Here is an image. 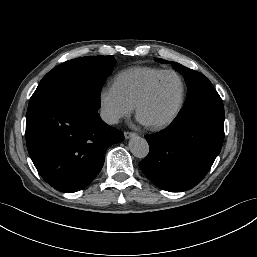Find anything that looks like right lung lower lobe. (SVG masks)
<instances>
[{
    "mask_svg": "<svg viewBox=\"0 0 257 257\" xmlns=\"http://www.w3.org/2000/svg\"><path fill=\"white\" fill-rule=\"evenodd\" d=\"M99 108L74 93L30 100L29 155L41 177L61 192L85 188L102 169L107 148L124 139L101 120Z\"/></svg>",
    "mask_w": 257,
    "mask_h": 257,
    "instance_id": "obj_1",
    "label": "right lung lower lobe"
}]
</instances>
